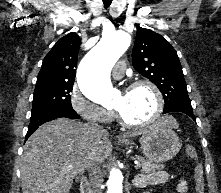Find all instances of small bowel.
<instances>
[{"mask_svg":"<svg viewBox=\"0 0 221 193\" xmlns=\"http://www.w3.org/2000/svg\"><path fill=\"white\" fill-rule=\"evenodd\" d=\"M169 179V175L166 171H159L146 176H139L135 179V185L137 187H144L147 185H158L166 183ZM178 193L188 192V183L185 179L181 178L177 186ZM146 193V192H144Z\"/></svg>","mask_w":221,"mask_h":193,"instance_id":"c3829d8e","label":"small bowel"}]
</instances>
